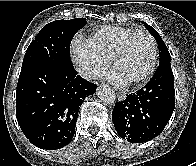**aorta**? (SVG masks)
Wrapping results in <instances>:
<instances>
[{
    "mask_svg": "<svg viewBox=\"0 0 196 166\" xmlns=\"http://www.w3.org/2000/svg\"><path fill=\"white\" fill-rule=\"evenodd\" d=\"M97 95L106 104L113 105L116 101V94L108 85L100 86L97 90Z\"/></svg>",
    "mask_w": 196,
    "mask_h": 166,
    "instance_id": "aorta-1",
    "label": "aorta"
}]
</instances>
